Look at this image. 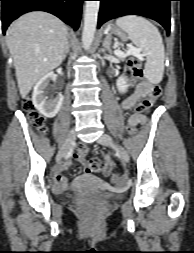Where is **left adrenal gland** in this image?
Returning a JSON list of instances; mask_svg holds the SVG:
<instances>
[{
	"mask_svg": "<svg viewBox=\"0 0 194 253\" xmlns=\"http://www.w3.org/2000/svg\"><path fill=\"white\" fill-rule=\"evenodd\" d=\"M103 48L105 50H107L109 53L112 52V49H111V36L110 35H107L103 41Z\"/></svg>",
	"mask_w": 194,
	"mask_h": 253,
	"instance_id": "obj_1",
	"label": "left adrenal gland"
}]
</instances>
